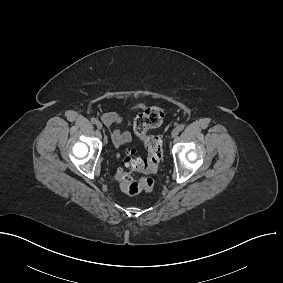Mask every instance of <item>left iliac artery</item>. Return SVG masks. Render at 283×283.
Here are the masks:
<instances>
[{
  "label": "left iliac artery",
  "instance_id": "left-iliac-artery-1",
  "mask_svg": "<svg viewBox=\"0 0 283 283\" xmlns=\"http://www.w3.org/2000/svg\"><path fill=\"white\" fill-rule=\"evenodd\" d=\"M185 125L184 124H180L177 128L179 131H182L184 129Z\"/></svg>",
  "mask_w": 283,
  "mask_h": 283
}]
</instances>
